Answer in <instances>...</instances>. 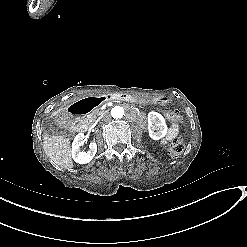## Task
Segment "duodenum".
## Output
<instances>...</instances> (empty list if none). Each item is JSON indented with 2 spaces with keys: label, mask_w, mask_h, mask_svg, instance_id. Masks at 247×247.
Returning a JSON list of instances; mask_svg holds the SVG:
<instances>
[{
  "label": "duodenum",
  "mask_w": 247,
  "mask_h": 247,
  "mask_svg": "<svg viewBox=\"0 0 247 247\" xmlns=\"http://www.w3.org/2000/svg\"><path fill=\"white\" fill-rule=\"evenodd\" d=\"M108 100L134 101L135 98L128 94L111 93L101 96H89L74 103L66 115V119L72 123V127L76 132H84L86 123L82 116L96 109L100 104Z\"/></svg>",
  "instance_id": "obj_1"
}]
</instances>
